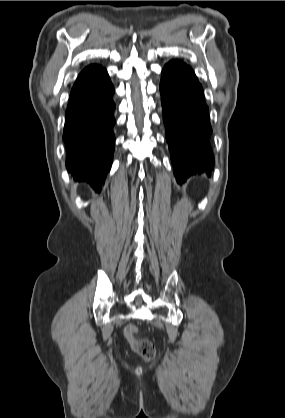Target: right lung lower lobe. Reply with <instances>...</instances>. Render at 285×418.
Masks as SVG:
<instances>
[{"label": "right lung lower lobe", "mask_w": 285, "mask_h": 418, "mask_svg": "<svg viewBox=\"0 0 285 418\" xmlns=\"http://www.w3.org/2000/svg\"><path fill=\"white\" fill-rule=\"evenodd\" d=\"M114 87L106 69L71 90L63 140L66 165L76 179L100 192L113 162Z\"/></svg>", "instance_id": "1"}]
</instances>
